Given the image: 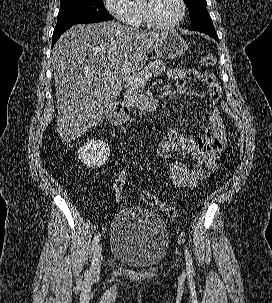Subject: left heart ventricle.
I'll list each match as a JSON object with an SVG mask.
<instances>
[{"label": "left heart ventricle", "instance_id": "1", "mask_svg": "<svg viewBox=\"0 0 272 303\" xmlns=\"http://www.w3.org/2000/svg\"><path fill=\"white\" fill-rule=\"evenodd\" d=\"M153 16L161 24H170L180 15L181 7L178 0H154Z\"/></svg>", "mask_w": 272, "mask_h": 303}]
</instances>
